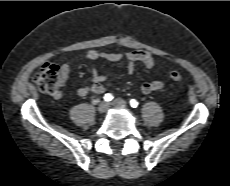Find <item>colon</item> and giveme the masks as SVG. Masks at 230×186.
Instances as JSON below:
<instances>
[{
	"mask_svg": "<svg viewBox=\"0 0 230 186\" xmlns=\"http://www.w3.org/2000/svg\"><path fill=\"white\" fill-rule=\"evenodd\" d=\"M171 80L179 82L182 81L184 76L180 71H171L169 73ZM34 82L40 91L52 95H57L64 85L63 76L59 67L51 62L44 63L34 76Z\"/></svg>",
	"mask_w": 230,
	"mask_h": 186,
	"instance_id": "1",
	"label": "colon"
}]
</instances>
